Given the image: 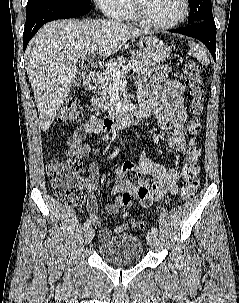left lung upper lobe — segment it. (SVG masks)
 Returning <instances> with one entry per match:
<instances>
[{"instance_id":"obj_1","label":"left lung upper lobe","mask_w":239,"mask_h":303,"mask_svg":"<svg viewBox=\"0 0 239 303\" xmlns=\"http://www.w3.org/2000/svg\"><path fill=\"white\" fill-rule=\"evenodd\" d=\"M188 2L190 6L188 24L213 20L211 0H188Z\"/></svg>"}]
</instances>
